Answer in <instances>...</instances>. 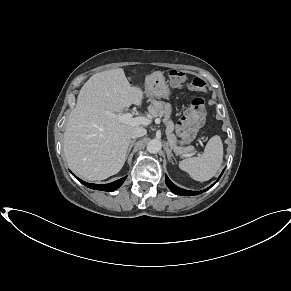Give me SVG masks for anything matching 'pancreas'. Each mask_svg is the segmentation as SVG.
I'll list each match as a JSON object with an SVG mask.
<instances>
[{"mask_svg":"<svg viewBox=\"0 0 291 291\" xmlns=\"http://www.w3.org/2000/svg\"><path fill=\"white\" fill-rule=\"evenodd\" d=\"M169 107H170L169 104H166L162 101L152 100L151 104L148 107V111L152 117H160V118L164 117L163 120L167 125V128H166L167 139L172 149L177 155H181L185 157L191 154L192 147L191 146L184 147V146L177 145L178 141L175 134L173 133L174 123L170 119Z\"/></svg>","mask_w":291,"mask_h":291,"instance_id":"obj_1","label":"pancreas"}]
</instances>
